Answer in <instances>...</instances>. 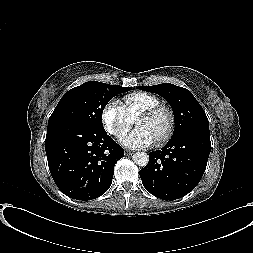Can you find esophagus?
I'll return each instance as SVG.
<instances>
[{"label":"esophagus","instance_id":"1","mask_svg":"<svg viewBox=\"0 0 253 253\" xmlns=\"http://www.w3.org/2000/svg\"><path fill=\"white\" fill-rule=\"evenodd\" d=\"M133 153H134V151H131V150H126V151H125V154H126V155H132Z\"/></svg>","mask_w":253,"mask_h":253}]
</instances>
